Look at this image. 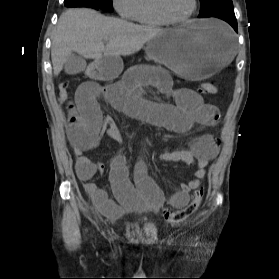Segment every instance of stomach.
I'll return each instance as SVG.
<instances>
[{
	"mask_svg": "<svg viewBox=\"0 0 279 279\" xmlns=\"http://www.w3.org/2000/svg\"><path fill=\"white\" fill-rule=\"evenodd\" d=\"M231 33L227 24L192 20L179 28L162 31L149 43L146 52L149 59L164 63L185 82H203L236 59L238 50ZM122 67L120 57H103L84 70V75H92L93 82H112Z\"/></svg>",
	"mask_w": 279,
	"mask_h": 279,
	"instance_id": "stomach-1",
	"label": "stomach"
}]
</instances>
